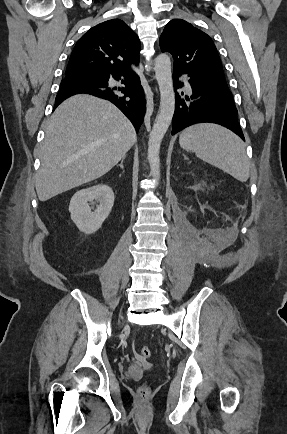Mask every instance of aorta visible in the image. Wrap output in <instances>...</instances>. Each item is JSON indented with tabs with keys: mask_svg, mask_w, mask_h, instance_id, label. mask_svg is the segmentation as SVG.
Here are the masks:
<instances>
[{
	"mask_svg": "<svg viewBox=\"0 0 287 434\" xmlns=\"http://www.w3.org/2000/svg\"><path fill=\"white\" fill-rule=\"evenodd\" d=\"M155 77L160 90V107L148 141V161L150 173L160 180V146L175 111V93L172 81L170 57L161 53L155 59Z\"/></svg>",
	"mask_w": 287,
	"mask_h": 434,
	"instance_id": "762f6f07",
	"label": "aorta"
}]
</instances>
